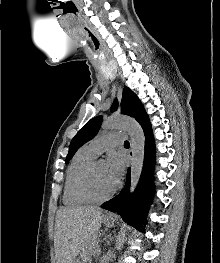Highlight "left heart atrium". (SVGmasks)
Returning <instances> with one entry per match:
<instances>
[{"instance_id": "left-heart-atrium-1", "label": "left heart atrium", "mask_w": 220, "mask_h": 263, "mask_svg": "<svg viewBox=\"0 0 220 263\" xmlns=\"http://www.w3.org/2000/svg\"><path fill=\"white\" fill-rule=\"evenodd\" d=\"M105 171L111 181L116 184L124 171L123 157L119 153H111L105 163Z\"/></svg>"}]
</instances>
